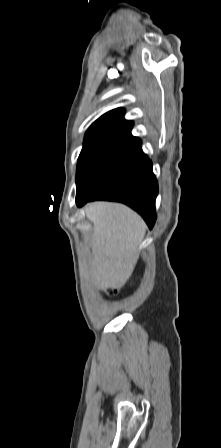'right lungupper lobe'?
<instances>
[{
    "instance_id": "obj_1",
    "label": "right lung upper lobe",
    "mask_w": 221,
    "mask_h": 448,
    "mask_svg": "<svg viewBox=\"0 0 221 448\" xmlns=\"http://www.w3.org/2000/svg\"><path fill=\"white\" fill-rule=\"evenodd\" d=\"M124 112L123 108H117L97 119L86 132L83 148H116L131 139L133 122L124 119Z\"/></svg>"
}]
</instances>
